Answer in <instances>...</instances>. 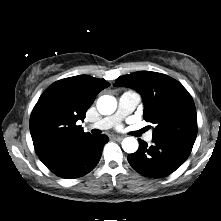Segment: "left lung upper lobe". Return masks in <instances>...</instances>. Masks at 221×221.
<instances>
[{"label": "left lung upper lobe", "instance_id": "1", "mask_svg": "<svg viewBox=\"0 0 221 221\" xmlns=\"http://www.w3.org/2000/svg\"><path fill=\"white\" fill-rule=\"evenodd\" d=\"M114 86L133 88L142 96L144 119L156 124L153 138L193 145L197 136L196 109L181 83L161 73L139 71L119 77Z\"/></svg>", "mask_w": 221, "mask_h": 221}]
</instances>
